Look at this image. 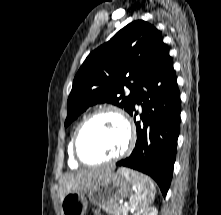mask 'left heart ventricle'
Here are the masks:
<instances>
[{
	"mask_svg": "<svg viewBox=\"0 0 221 215\" xmlns=\"http://www.w3.org/2000/svg\"><path fill=\"white\" fill-rule=\"evenodd\" d=\"M126 142V130L120 119L105 113L92 120L84 129L79 149L88 161H100L120 152Z\"/></svg>",
	"mask_w": 221,
	"mask_h": 215,
	"instance_id": "b2bd125f",
	"label": "left heart ventricle"
}]
</instances>
